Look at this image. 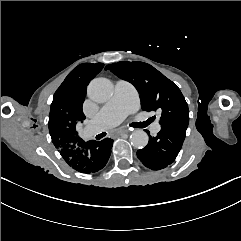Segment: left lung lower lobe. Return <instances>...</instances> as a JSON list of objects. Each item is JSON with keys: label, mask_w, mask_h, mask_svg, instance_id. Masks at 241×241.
I'll list each match as a JSON object with an SVG mask.
<instances>
[{"label": "left lung lower lobe", "mask_w": 241, "mask_h": 241, "mask_svg": "<svg viewBox=\"0 0 241 241\" xmlns=\"http://www.w3.org/2000/svg\"><path fill=\"white\" fill-rule=\"evenodd\" d=\"M188 124L161 125L156 137L149 136L148 145L137 151V157L148 168L160 170L176 159L185 139Z\"/></svg>", "instance_id": "left-lung-lower-lobe-1"}]
</instances>
